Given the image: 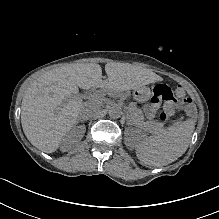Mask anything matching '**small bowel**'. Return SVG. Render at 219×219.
<instances>
[{
  "label": "small bowel",
  "mask_w": 219,
  "mask_h": 219,
  "mask_svg": "<svg viewBox=\"0 0 219 219\" xmlns=\"http://www.w3.org/2000/svg\"><path fill=\"white\" fill-rule=\"evenodd\" d=\"M172 98L171 90L166 85H157L154 91V96L151 102L146 106L145 113L147 117L153 118L162 101H167ZM180 107L187 113L192 114L194 112V106L191 101L181 102Z\"/></svg>",
  "instance_id": "1"
}]
</instances>
